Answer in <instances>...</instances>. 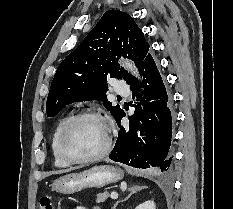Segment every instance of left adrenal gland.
<instances>
[{
	"label": "left adrenal gland",
	"mask_w": 233,
	"mask_h": 209,
	"mask_svg": "<svg viewBox=\"0 0 233 209\" xmlns=\"http://www.w3.org/2000/svg\"><path fill=\"white\" fill-rule=\"evenodd\" d=\"M128 190L130 191V194L124 200L116 202V204L114 205V207L112 209H115L119 202H123V201L128 200L134 193H136L138 190H141V188L140 187H131Z\"/></svg>",
	"instance_id": "left-adrenal-gland-1"
}]
</instances>
